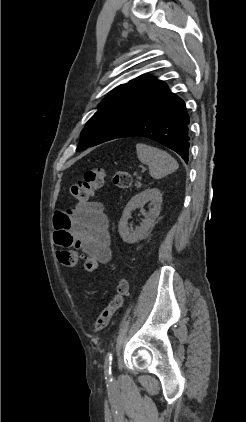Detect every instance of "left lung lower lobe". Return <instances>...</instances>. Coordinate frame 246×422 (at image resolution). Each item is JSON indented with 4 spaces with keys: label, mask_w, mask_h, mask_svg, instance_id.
I'll return each mask as SVG.
<instances>
[{
    "label": "left lung lower lobe",
    "mask_w": 246,
    "mask_h": 422,
    "mask_svg": "<svg viewBox=\"0 0 246 422\" xmlns=\"http://www.w3.org/2000/svg\"><path fill=\"white\" fill-rule=\"evenodd\" d=\"M189 115L184 101L169 89L161 99L118 138H150L177 152L187 163Z\"/></svg>",
    "instance_id": "obj_1"
}]
</instances>
